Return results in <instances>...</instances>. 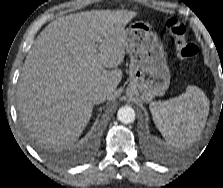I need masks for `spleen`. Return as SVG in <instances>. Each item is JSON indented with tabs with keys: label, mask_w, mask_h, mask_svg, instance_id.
<instances>
[{
	"label": "spleen",
	"mask_w": 223,
	"mask_h": 188,
	"mask_svg": "<svg viewBox=\"0 0 223 188\" xmlns=\"http://www.w3.org/2000/svg\"><path fill=\"white\" fill-rule=\"evenodd\" d=\"M154 123L167 143L185 147L202 132L209 112V100L196 86L166 101L152 102Z\"/></svg>",
	"instance_id": "1"
}]
</instances>
